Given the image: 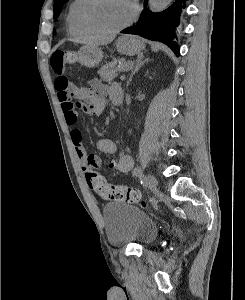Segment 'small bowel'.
Returning <instances> with one entry per match:
<instances>
[{"instance_id":"c3829d8e","label":"small bowel","mask_w":245,"mask_h":300,"mask_svg":"<svg viewBox=\"0 0 245 300\" xmlns=\"http://www.w3.org/2000/svg\"><path fill=\"white\" fill-rule=\"evenodd\" d=\"M54 85L65 122L69 127L76 156L87 178L88 174L97 173V169L101 165V159L98 155L88 153L85 149L81 130L77 125L78 111L76 107L83 108L88 115L100 116L104 112L107 99L115 103L116 94L122 93V91L118 85L107 86L96 79L90 81L88 86H78L62 75H58ZM96 146L101 153L117 155L116 159L109 162L111 169L121 173H127L132 169V157L120 151L117 144L111 139L101 138L97 141Z\"/></svg>"}]
</instances>
